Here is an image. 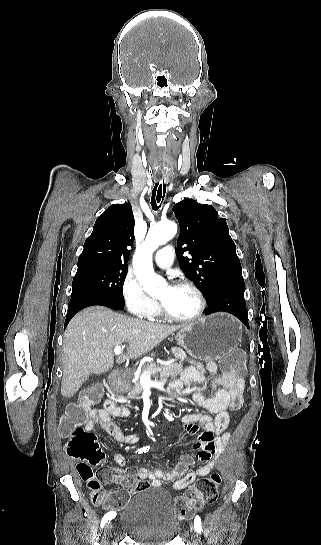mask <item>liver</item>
<instances>
[{"mask_svg": "<svg viewBox=\"0 0 321 545\" xmlns=\"http://www.w3.org/2000/svg\"><path fill=\"white\" fill-rule=\"evenodd\" d=\"M183 325H161L114 313L106 307H88L70 321L64 335L62 397H73L89 375H102L114 365L113 349L127 343L126 355L116 363L138 359L152 351Z\"/></svg>", "mask_w": 321, "mask_h": 545, "instance_id": "liver-1", "label": "liver"}]
</instances>
